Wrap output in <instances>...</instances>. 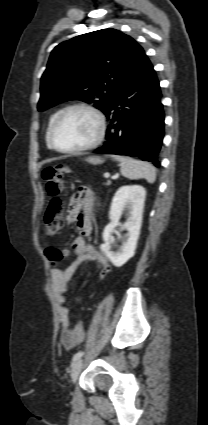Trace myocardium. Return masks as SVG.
<instances>
[{"label":"myocardium","instance_id":"obj_1","mask_svg":"<svg viewBox=\"0 0 208 425\" xmlns=\"http://www.w3.org/2000/svg\"><path fill=\"white\" fill-rule=\"evenodd\" d=\"M74 110H82L85 112L90 113L91 115L94 116V118L97 121V125H98V130H97V134L95 136V138L88 144L78 147V148H72V149H63L60 148L59 146H57V144L55 143L54 140V134H55V130L59 124V122L61 121V119L69 112L74 111ZM106 119L104 114L96 107L87 104V103H75V104H71L66 106L65 108H63L62 110H60L58 112V114L56 115V117L54 118L51 127H50V131H49V144L51 146V148H53L54 150L60 152V153H66V154H79V153H83L86 151H89L95 147H97L99 144H101V142L103 141L105 134H106Z\"/></svg>","mask_w":208,"mask_h":425}]
</instances>
